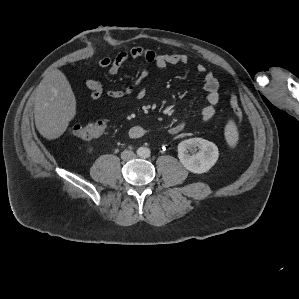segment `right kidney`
Here are the masks:
<instances>
[{
  "label": "right kidney",
  "instance_id": "ca27d5eb",
  "mask_svg": "<svg viewBox=\"0 0 299 299\" xmlns=\"http://www.w3.org/2000/svg\"><path fill=\"white\" fill-rule=\"evenodd\" d=\"M93 151L92 147L88 149V152L91 153Z\"/></svg>",
  "mask_w": 299,
  "mask_h": 299
}]
</instances>
